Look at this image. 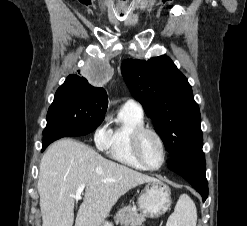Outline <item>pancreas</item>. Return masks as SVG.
<instances>
[{
    "mask_svg": "<svg viewBox=\"0 0 247 226\" xmlns=\"http://www.w3.org/2000/svg\"><path fill=\"white\" fill-rule=\"evenodd\" d=\"M114 219L117 223L128 225L141 222L144 220V217L137 213V209L134 206L128 205L120 209Z\"/></svg>",
    "mask_w": 247,
    "mask_h": 226,
    "instance_id": "1",
    "label": "pancreas"
}]
</instances>
